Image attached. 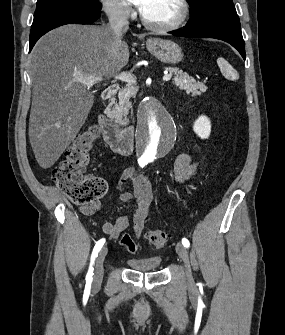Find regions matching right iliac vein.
<instances>
[{
  "label": "right iliac vein",
  "mask_w": 285,
  "mask_h": 335,
  "mask_svg": "<svg viewBox=\"0 0 285 335\" xmlns=\"http://www.w3.org/2000/svg\"><path fill=\"white\" fill-rule=\"evenodd\" d=\"M107 255L106 248H103L97 258L95 272L93 277V285L99 286L102 283L103 276H104V260Z\"/></svg>",
  "instance_id": "right-iliac-vein-1"
}]
</instances>
